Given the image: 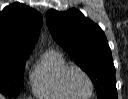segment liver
<instances>
[{"label":"liver","mask_w":128,"mask_h":99,"mask_svg":"<svg viewBox=\"0 0 128 99\" xmlns=\"http://www.w3.org/2000/svg\"><path fill=\"white\" fill-rule=\"evenodd\" d=\"M0 99H5V98L3 97V95L0 94Z\"/></svg>","instance_id":"obj_1"}]
</instances>
